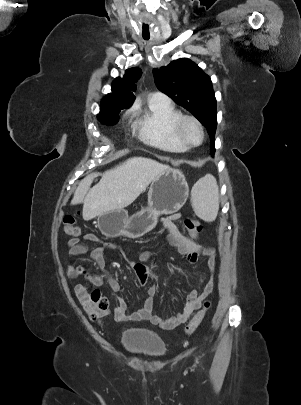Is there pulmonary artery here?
Returning <instances> with one entry per match:
<instances>
[{
    "instance_id": "e3ab8cb5",
    "label": "pulmonary artery",
    "mask_w": 301,
    "mask_h": 405,
    "mask_svg": "<svg viewBox=\"0 0 301 405\" xmlns=\"http://www.w3.org/2000/svg\"><path fill=\"white\" fill-rule=\"evenodd\" d=\"M150 101L160 104H171L170 98L161 92L152 93L150 96Z\"/></svg>"
}]
</instances>
